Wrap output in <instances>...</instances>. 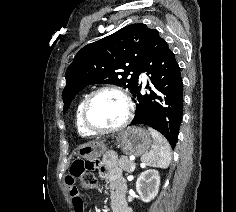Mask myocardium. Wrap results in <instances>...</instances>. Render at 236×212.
Returning a JSON list of instances; mask_svg holds the SVG:
<instances>
[{"label": "myocardium", "instance_id": "1", "mask_svg": "<svg viewBox=\"0 0 236 212\" xmlns=\"http://www.w3.org/2000/svg\"><path fill=\"white\" fill-rule=\"evenodd\" d=\"M105 91H112V92H115L121 96V98L123 99V101L126 104V115H125L124 120L118 126L113 127V128L101 129V128L94 127L90 123L89 118H88V112H89L90 104H91L92 100L94 99V97L102 92H105ZM133 115H134V104H133L131 97L123 88H121L120 86H117V85H113V84L103 85V86L98 87L97 89L93 90L85 98L83 105H82V109H81L82 124L85 127V129L92 134L103 135V134H111V133L120 132L130 124V122L133 118Z\"/></svg>", "mask_w": 236, "mask_h": 212}]
</instances>
